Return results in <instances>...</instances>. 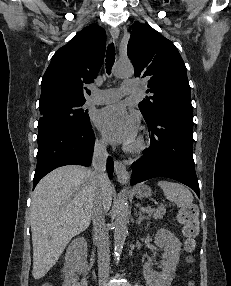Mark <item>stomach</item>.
<instances>
[{"instance_id":"1","label":"stomach","mask_w":231,"mask_h":286,"mask_svg":"<svg viewBox=\"0 0 231 286\" xmlns=\"http://www.w3.org/2000/svg\"><path fill=\"white\" fill-rule=\"evenodd\" d=\"M139 198H148L151 196L152 191L147 185H141L135 190Z\"/></svg>"}]
</instances>
